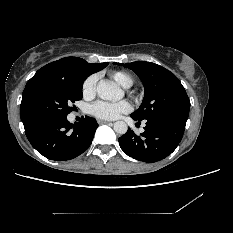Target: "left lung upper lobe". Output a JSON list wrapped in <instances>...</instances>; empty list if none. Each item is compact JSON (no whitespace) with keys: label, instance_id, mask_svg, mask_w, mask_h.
Here are the masks:
<instances>
[{"label":"left lung upper lobe","instance_id":"obj_1","mask_svg":"<svg viewBox=\"0 0 233 233\" xmlns=\"http://www.w3.org/2000/svg\"><path fill=\"white\" fill-rule=\"evenodd\" d=\"M114 64L134 71L145 88L142 104L131 117L138 121L160 119L186 124L190 100L183 85L173 73L160 65L146 61Z\"/></svg>","mask_w":233,"mask_h":233}]
</instances>
